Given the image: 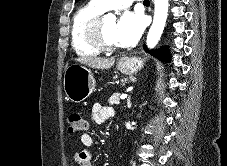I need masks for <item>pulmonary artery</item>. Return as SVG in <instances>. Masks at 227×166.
<instances>
[{
    "label": "pulmonary artery",
    "instance_id": "e3ab8cb5",
    "mask_svg": "<svg viewBox=\"0 0 227 166\" xmlns=\"http://www.w3.org/2000/svg\"><path fill=\"white\" fill-rule=\"evenodd\" d=\"M95 1L102 9H122L128 6H131L135 0H93Z\"/></svg>",
    "mask_w": 227,
    "mask_h": 166
}]
</instances>
